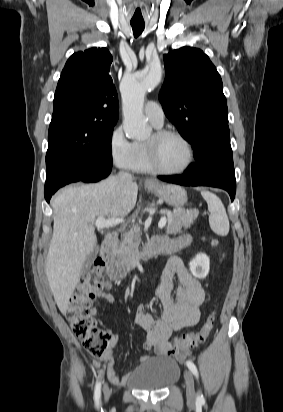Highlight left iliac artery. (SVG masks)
<instances>
[{
	"label": "left iliac artery",
	"instance_id": "left-iliac-artery-1",
	"mask_svg": "<svg viewBox=\"0 0 283 412\" xmlns=\"http://www.w3.org/2000/svg\"><path fill=\"white\" fill-rule=\"evenodd\" d=\"M186 365L189 368V370L193 373V375L198 378V370H197V367L195 366V364L191 361H187ZM197 401L204 402V397H203L202 394L198 395Z\"/></svg>",
	"mask_w": 283,
	"mask_h": 412
}]
</instances>
